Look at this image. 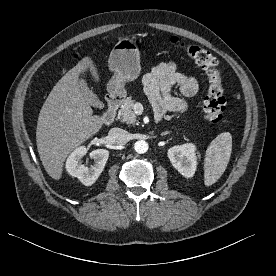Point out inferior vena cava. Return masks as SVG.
Returning a JSON list of instances; mask_svg holds the SVG:
<instances>
[{
    "label": "inferior vena cava",
    "instance_id": "inferior-vena-cava-1",
    "mask_svg": "<svg viewBox=\"0 0 276 276\" xmlns=\"http://www.w3.org/2000/svg\"><path fill=\"white\" fill-rule=\"evenodd\" d=\"M109 136L111 138V141L117 145H124L129 140L127 131L121 128H112L109 131Z\"/></svg>",
    "mask_w": 276,
    "mask_h": 276
}]
</instances>
